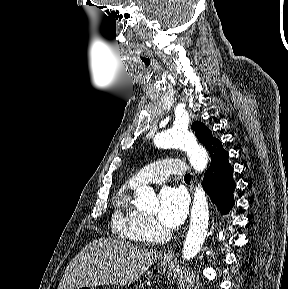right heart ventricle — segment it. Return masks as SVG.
Segmentation results:
<instances>
[{
	"instance_id": "right-heart-ventricle-1",
	"label": "right heart ventricle",
	"mask_w": 288,
	"mask_h": 289,
	"mask_svg": "<svg viewBox=\"0 0 288 289\" xmlns=\"http://www.w3.org/2000/svg\"><path fill=\"white\" fill-rule=\"evenodd\" d=\"M136 186L128 184L115 195L112 228L115 234L126 241L142 244L147 241L141 230L144 215L132 201V191Z\"/></svg>"
}]
</instances>
